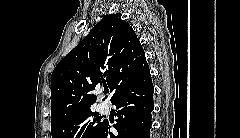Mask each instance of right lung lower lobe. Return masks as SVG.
<instances>
[{"label":"right lung lower lobe","mask_w":240,"mask_h":138,"mask_svg":"<svg viewBox=\"0 0 240 138\" xmlns=\"http://www.w3.org/2000/svg\"><path fill=\"white\" fill-rule=\"evenodd\" d=\"M153 92L150 73L134 86L118 92L111 100L119 109L114 125L117 132H110L109 123L104 121L94 138H150Z\"/></svg>","instance_id":"1"}]
</instances>
